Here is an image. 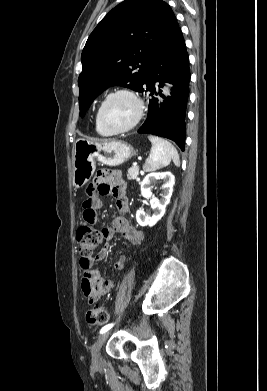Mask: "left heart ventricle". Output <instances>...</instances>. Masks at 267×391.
Returning a JSON list of instances; mask_svg holds the SVG:
<instances>
[{"label": "left heart ventricle", "instance_id": "obj_1", "mask_svg": "<svg viewBox=\"0 0 267 391\" xmlns=\"http://www.w3.org/2000/svg\"><path fill=\"white\" fill-rule=\"evenodd\" d=\"M137 107L127 95H117L106 103L103 110L105 122L113 128L129 125L135 118Z\"/></svg>", "mask_w": 267, "mask_h": 391}]
</instances>
